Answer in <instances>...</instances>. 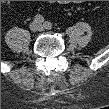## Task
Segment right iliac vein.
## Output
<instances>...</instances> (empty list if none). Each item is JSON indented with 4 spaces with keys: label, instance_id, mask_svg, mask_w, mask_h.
Returning <instances> with one entry per match:
<instances>
[{
    "label": "right iliac vein",
    "instance_id": "1",
    "mask_svg": "<svg viewBox=\"0 0 109 109\" xmlns=\"http://www.w3.org/2000/svg\"><path fill=\"white\" fill-rule=\"evenodd\" d=\"M32 27H33V28H35V27H36V25H35V24H33V25H32Z\"/></svg>",
    "mask_w": 109,
    "mask_h": 109
}]
</instances>
